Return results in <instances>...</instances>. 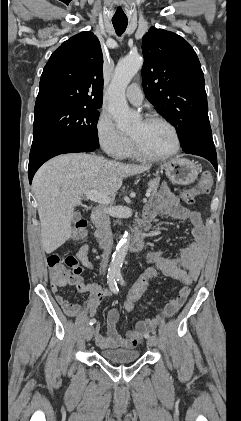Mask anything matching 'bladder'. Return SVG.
<instances>
[{"mask_svg":"<svg viewBox=\"0 0 241 421\" xmlns=\"http://www.w3.org/2000/svg\"><path fill=\"white\" fill-rule=\"evenodd\" d=\"M99 355L108 362L124 364L136 361L140 353L137 350L103 349L99 352Z\"/></svg>","mask_w":241,"mask_h":421,"instance_id":"31cf9c89","label":"bladder"}]
</instances>
